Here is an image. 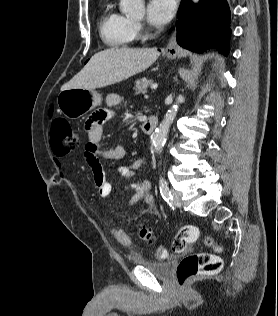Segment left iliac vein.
<instances>
[{
  "label": "left iliac vein",
  "mask_w": 278,
  "mask_h": 316,
  "mask_svg": "<svg viewBox=\"0 0 278 316\" xmlns=\"http://www.w3.org/2000/svg\"><path fill=\"white\" fill-rule=\"evenodd\" d=\"M172 196H173V203L175 204V206L177 207H181V197H182V193L178 190L172 189Z\"/></svg>",
  "instance_id": "4c4485c4"
}]
</instances>
